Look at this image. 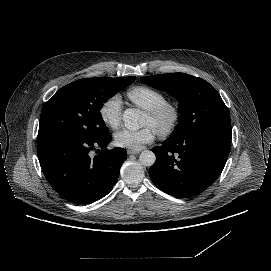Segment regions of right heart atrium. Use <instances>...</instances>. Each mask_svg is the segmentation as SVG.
<instances>
[{"label": "right heart atrium", "instance_id": "obj_1", "mask_svg": "<svg viewBox=\"0 0 271 271\" xmlns=\"http://www.w3.org/2000/svg\"><path fill=\"white\" fill-rule=\"evenodd\" d=\"M102 122L111 129H116L121 123L122 99L119 93L109 96L98 110Z\"/></svg>", "mask_w": 271, "mask_h": 271}]
</instances>
